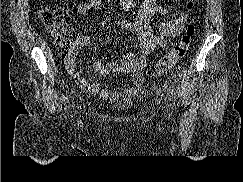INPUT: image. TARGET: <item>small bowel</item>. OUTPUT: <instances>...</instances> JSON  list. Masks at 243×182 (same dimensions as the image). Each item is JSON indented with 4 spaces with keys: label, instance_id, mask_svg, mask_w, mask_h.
<instances>
[{
    "label": "small bowel",
    "instance_id": "small-bowel-1",
    "mask_svg": "<svg viewBox=\"0 0 243 182\" xmlns=\"http://www.w3.org/2000/svg\"><path fill=\"white\" fill-rule=\"evenodd\" d=\"M179 1V0H175ZM101 8V0H87L77 7L81 15L89 14ZM170 15L168 21L161 22L158 32L151 27L150 20L153 15ZM187 21V15L171 12L168 8L157 3L156 0H144L138 14L133 21L119 20L117 26L133 33L139 45V53L128 52L120 61L103 64L100 61L93 63V68L103 75L132 74V85L122 91H111L106 85L98 81L85 78L76 67L75 57L65 59V67L75 83L83 90L97 95L108 101H116L124 97L135 96L143 82V71L147 67V56L157 47L166 48L170 40L176 39L182 32ZM89 43L86 36H79L75 42L76 51Z\"/></svg>",
    "mask_w": 243,
    "mask_h": 182
}]
</instances>
